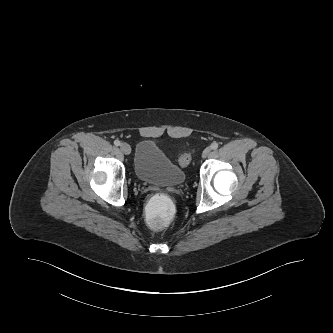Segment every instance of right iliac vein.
<instances>
[{
  "instance_id": "right-iliac-vein-1",
  "label": "right iliac vein",
  "mask_w": 333,
  "mask_h": 333,
  "mask_svg": "<svg viewBox=\"0 0 333 333\" xmlns=\"http://www.w3.org/2000/svg\"><path fill=\"white\" fill-rule=\"evenodd\" d=\"M120 149L126 155L130 154L131 152V147L127 143H122L120 145Z\"/></svg>"
}]
</instances>
